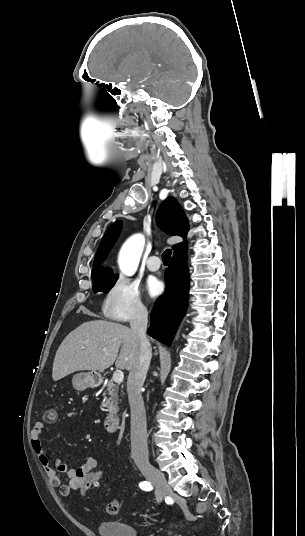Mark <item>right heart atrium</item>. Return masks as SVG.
Returning <instances> with one entry per match:
<instances>
[{
	"label": "right heart atrium",
	"instance_id": "1",
	"mask_svg": "<svg viewBox=\"0 0 305 536\" xmlns=\"http://www.w3.org/2000/svg\"><path fill=\"white\" fill-rule=\"evenodd\" d=\"M104 314L118 322L146 316L147 307L137 283L125 276H117L112 281L103 298Z\"/></svg>",
	"mask_w": 305,
	"mask_h": 536
}]
</instances>
